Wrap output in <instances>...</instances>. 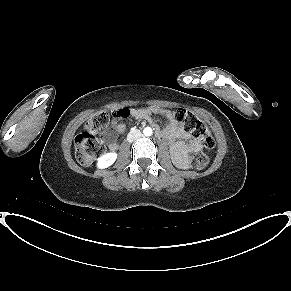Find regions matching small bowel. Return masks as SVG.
<instances>
[{"mask_svg": "<svg viewBox=\"0 0 291 291\" xmlns=\"http://www.w3.org/2000/svg\"><path fill=\"white\" fill-rule=\"evenodd\" d=\"M152 114H160L165 117L166 124L163 128L157 129V134L159 137L169 141L173 157L177 161H180L185 155L197 152L201 149L200 141L196 138H192L190 134L179 126L172 111L151 106L137 108L131 112V115L136 119H143ZM125 130V124L121 123L120 118L114 114L111 120V129L105 135V140L111 150L117 149L118 135L123 134Z\"/></svg>", "mask_w": 291, "mask_h": 291, "instance_id": "small-bowel-1", "label": "small bowel"}]
</instances>
